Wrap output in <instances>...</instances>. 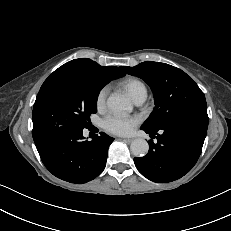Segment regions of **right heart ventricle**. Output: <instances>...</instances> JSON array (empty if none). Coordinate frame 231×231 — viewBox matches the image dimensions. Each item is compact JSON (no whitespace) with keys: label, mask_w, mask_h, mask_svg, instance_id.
<instances>
[{"label":"right heart ventricle","mask_w":231,"mask_h":231,"mask_svg":"<svg viewBox=\"0 0 231 231\" xmlns=\"http://www.w3.org/2000/svg\"><path fill=\"white\" fill-rule=\"evenodd\" d=\"M120 85L128 92L135 101L139 98H146L147 87L143 81L135 77H129L120 82Z\"/></svg>","instance_id":"obj_1"}]
</instances>
